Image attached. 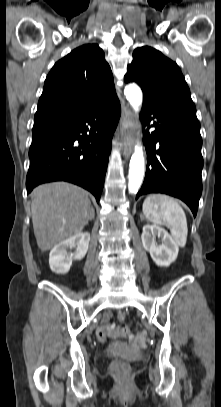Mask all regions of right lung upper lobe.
I'll return each mask as SVG.
<instances>
[{
    "label": "right lung upper lobe",
    "mask_w": 221,
    "mask_h": 407,
    "mask_svg": "<svg viewBox=\"0 0 221 407\" xmlns=\"http://www.w3.org/2000/svg\"><path fill=\"white\" fill-rule=\"evenodd\" d=\"M117 97L111 68L97 44L74 49L48 74L34 126L79 115Z\"/></svg>",
    "instance_id": "obj_1"
}]
</instances>
